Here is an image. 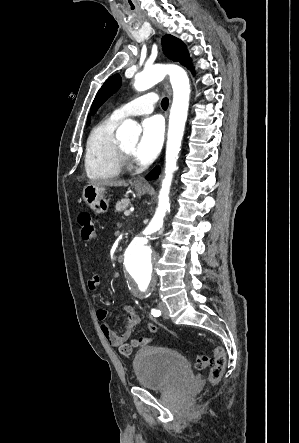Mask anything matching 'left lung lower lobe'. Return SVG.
<instances>
[{
	"mask_svg": "<svg viewBox=\"0 0 299 443\" xmlns=\"http://www.w3.org/2000/svg\"><path fill=\"white\" fill-rule=\"evenodd\" d=\"M158 174H159V168H155L154 170H152L151 172H150V174L146 177V179H151V178H155V177H157L158 176Z\"/></svg>",
	"mask_w": 299,
	"mask_h": 443,
	"instance_id": "obj_1",
	"label": "left lung lower lobe"
}]
</instances>
